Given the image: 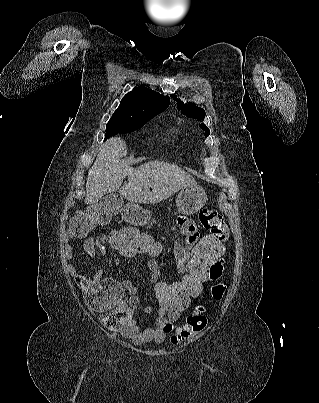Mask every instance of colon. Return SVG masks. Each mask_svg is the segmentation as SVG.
<instances>
[{"mask_svg":"<svg viewBox=\"0 0 319 403\" xmlns=\"http://www.w3.org/2000/svg\"><path fill=\"white\" fill-rule=\"evenodd\" d=\"M104 201L90 209L75 215L70 222L69 231L72 237L82 238L96 224H106L111 217H116L117 210L122 208V197L118 192H105ZM201 224L211 231L206 232V238H199L198 242L191 240L193 249H189V258L185 260L182 275H178L176 282H153V304H156V313H188L185 321H179L177 333L171 337L173 344L191 341L206 332L211 320L209 301L219 302L227 292V283H212L210 265L225 258L228 251L230 235L228 232L229 218H222L215 209L203 210L199 214ZM90 236L88 237V243ZM106 249H114V254H121L122 260H148V268H165V240L161 234H142L141 226H114L106 229L101 235ZM84 244L85 252H96ZM71 244V243H70ZM192 246V245H191ZM152 254V256H151ZM152 257V259H150ZM221 266V264H218ZM205 284H208V289ZM87 291L85 282H82ZM194 308V300H200ZM102 310V309H98Z\"/></svg>","mask_w":319,"mask_h":403,"instance_id":"1","label":"colon"}]
</instances>
